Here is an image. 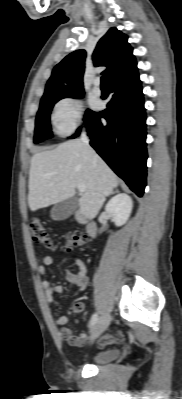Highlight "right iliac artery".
<instances>
[{"label":"right iliac artery","instance_id":"1","mask_svg":"<svg viewBox=\"0 0 182 399\" xmlns=\"http://www.w3.org/2000/svg\"><path fill=\"white\" fill-rule=\"evenodd\" d=\"M97 321H98V314L94 313L89 322V327L92 328L97 323Z\"/></svg>","mask_w":182,"mask_h":399}]
</instances>
